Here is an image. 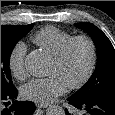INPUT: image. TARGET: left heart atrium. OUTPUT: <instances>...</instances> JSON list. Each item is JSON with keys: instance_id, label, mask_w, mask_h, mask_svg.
<instances>
[{"instance_id": "obj_1", "label": "left heart atrium", "mask_w": 115, "mask_h": 115, "mask_svg": "<svg viewBox=\"0 0 115 115\" xmlns=\"http://www.w3.org/2000/svg\"><path fill=\"white\" fill-rule=\"evenodd\" d=\"M67 84L57 75L33 79L21 88V96L39 104H48L67 90Z\"/></svg>"}]
</instances>
